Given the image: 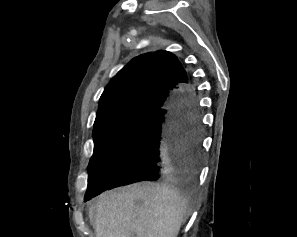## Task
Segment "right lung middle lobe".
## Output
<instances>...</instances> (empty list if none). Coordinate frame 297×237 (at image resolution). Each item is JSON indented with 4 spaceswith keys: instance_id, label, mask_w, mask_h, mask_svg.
Here are the masks:
<instances>
[{
    "instance_id": "obj_1",
    "label": "right lung middle lobe",
    "mask_w": 297,
    "mask_h": 237,
    "mask_svg": "<svg viewBox=\"0 0 297 237\" xmlns=\"http://www.w3.org/2000/svg\"><path fill=\"white\" fill-rule=\"evenodd\" d=\"M150 115H126L94 127V152L88 165L85 200L112 183L117 167L138 139Z\"/></svg>"
}]
</instances>
